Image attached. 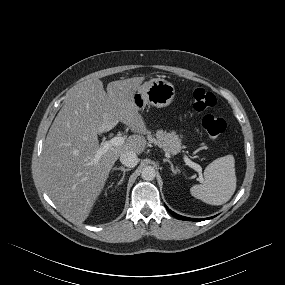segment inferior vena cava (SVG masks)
I'll use <instances>...</instances> for the list:
<instances>
[{"mask_svg":"<svg viewBox=\"0 0 285 285\" xmlns=\"http://www.w3.org/2000/svg\"><path fill=\"white\" fill-rule=\"evenodd\" d=\"M120 161L124 166L133 168L137 165L139 159H138L136 153H134L132 151H125V152L121 153Z\"/></svg>","mask_w":285,"mask_h":285,"instance_id":"obj_1","label":"inferior vena cava"}]
</instances>
